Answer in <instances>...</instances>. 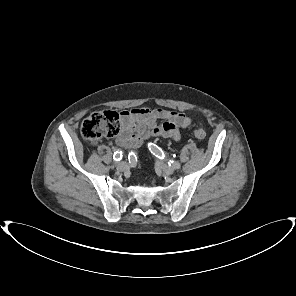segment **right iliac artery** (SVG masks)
<instances>
[{
  "label": "right iliac artery",
  "mask_w": 296,
  "mask_h": 296,
  "mask_svg": "<svg viewBox=\"0 0 296 296\" xmlns=\"http://www.w3.org/2000/svg\"><path fill=\"white\" fill-rule=\"evenodd\" d=\"M113 158L115 161H120L122 158V151L121 150H117L114 155Z\"/></svg>",
  "instance_id": "right-iliac-artery-1"
}]
</instances>
